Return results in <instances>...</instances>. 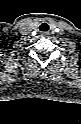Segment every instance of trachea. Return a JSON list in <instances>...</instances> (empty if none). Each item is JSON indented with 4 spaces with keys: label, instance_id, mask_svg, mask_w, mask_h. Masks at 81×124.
I'll return each mask as SVG.
<instances>
[{
    "label": "trachea",
    "instance_id": "obj_1",
    "mask_svg": "<svg viewBox=\"0 0 81 124\" xmlns=\"http://www.w3.org/2000/svg\"><path fill=\"white\" fill-rule=\"evenodd\" d=\"M40 31H48L49 30V25L47 23H42L39 26Z\"/></svg>",
    "mask_w": 81,
    "mask_h": 124
}]
</instances>
